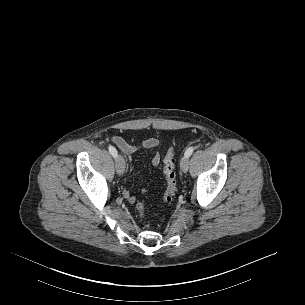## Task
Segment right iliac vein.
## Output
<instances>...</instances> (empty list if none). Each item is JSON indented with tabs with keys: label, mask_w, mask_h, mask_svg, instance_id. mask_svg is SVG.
Wrapping results in <instances>:
<instances>
[{
	"label": "right iliac vein",
	"mask_w": 305,
	"mask_h": 305,
	"mask_svg": "<svg viewBox=\"0 0 305 305\" xmlns=\"http://www.w3.org/2000/svg\"><path fill=\"white\" fill-rule=\"evenodd\" d=\"M125 171V160L121 155L116 158V172L118 175H122Z\"/></svg>",
	"instance_id": "63e3f726"
}]
</instances>
